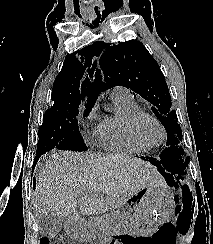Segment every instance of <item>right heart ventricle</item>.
Wrapping results in <instances>:
<instances>
[{
  "instance_id": "obj_1",
  "label": "right heart ventricle",
  "mask_w": 213,
  "mask_h": 244,
  "mask_svg": "<svg viewBox=\"0 0 213 244\" xmlns=\"http://www.w3.org/2000/svg\"><path fill=\"white\" fill-rule=\"evenodd\" d=\"M115 112L105 117L98 124L94 136L96 142L104 149L117 153H144L150 147L138 142L129 131L131 117L142 111L133 97L112 98Z\"/></svg>"
}]
</instances>
